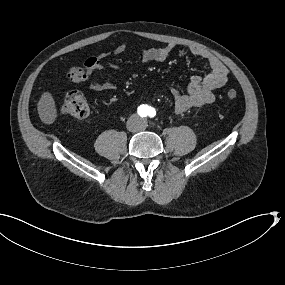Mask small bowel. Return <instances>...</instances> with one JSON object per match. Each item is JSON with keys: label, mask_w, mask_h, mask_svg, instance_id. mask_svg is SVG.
I'll use <instances>...</instances> for the list:
<instances>
[{"label": "small bowel", "mask_w": 285, "mask_h": 285, "mask_svg": "<svg viewBox=\"0 0 285 285\" xmlns=\"http://www.w3.org/2000/svg\"><path fill=\"white\" fill-rule=\"evenodd\" d=\"M174 48V45L168 44L163 47L142 49L140 50V57L144 62H163L173 52ZM126 49L127 45L121 43L115 48L114 54L120 55ZM189 53L204 60L209 67V72L203 77L198 75L191 76L185 92H179L175 89L171 91L177 113H183L191 108L213 103L215 100L214 91L223 87L228 80L226 66L209 51L197 46H191L189 47ZM108 56V53H102L88 58L85 62L86 72L91 73L104 68L118 70L119 67L117 65L107 61ZM90 87L96 91H112L116 89V85L112 81H93Z\"/></svg>", "instance_id": "c3829d8e"}]
</instances>
